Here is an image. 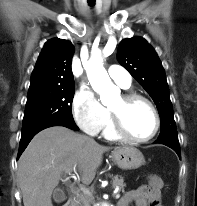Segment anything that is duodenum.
Listing matches in <instances>:
<instances>
[{"label": "duodenum", "mask_w": 197, "mask_h": 206, "mask_svg": "<svg viewBox=\"0 0 197 206\" xmlns=\"http://www.w3.org/2000/svg\"><path fill=\"white\" fill-rule=\"evenodd\" d=\"M63 206H75V202L72 199L67 200Z\"/></svg>", "instance_id": "1"}]
</instances>
